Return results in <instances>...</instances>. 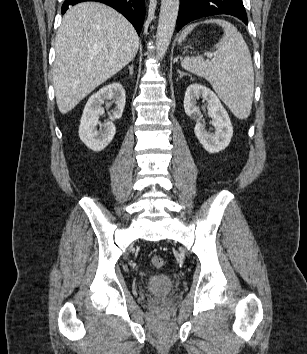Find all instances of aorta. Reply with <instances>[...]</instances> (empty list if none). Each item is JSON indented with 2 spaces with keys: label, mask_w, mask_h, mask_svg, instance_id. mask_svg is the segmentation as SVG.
I'll return each instance as SVG.
<instances>
[{
  "label": "aorta",
  "mask_w": 307,
  "mask_h": 354,
  "mask_svg": "<svg viewBox=\"0 0 307 354\" xmlns=\"http://www.w3.org/2000/svg\"><path fill=\"white\" fill-rule=\"evenodd\" d=\"M179 10V0H161L156 34V52L163 57L170 45Z\"/></svg>",
  "instance_id": "obj_1"
}]
</instances>
